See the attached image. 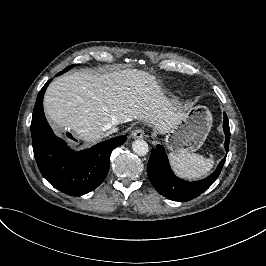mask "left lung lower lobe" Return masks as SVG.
Segmentation results:
<instances>
[{"instance_id":"obj_1","label":"left lung lower lobe","mask_w":266,"mask_h":266,"mask_svg":"<svg viewBox=\"0 0 266 266\" xmlns=\"http://www.w3.org/2000/svg\"><path fill=\"white\" fill-rule=\"evenodd\" d=\"M223 129L226 135L224 146L226 151H228L230 130L226 113H224ZM225 159L226 156L218 164L217 169L207 178L188 182L175 176L170 168L164 147L157 145L151 152L147 173L154 188L161 195L170 200L186 202L198 197L215 182L223 168Z\"/></svg>"}]
</instances>
